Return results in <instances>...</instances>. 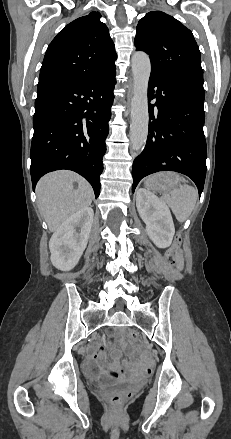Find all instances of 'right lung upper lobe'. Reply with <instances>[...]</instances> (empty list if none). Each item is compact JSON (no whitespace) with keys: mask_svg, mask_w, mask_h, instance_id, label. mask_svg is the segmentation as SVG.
I'll return each instance as SVG.
<instances>
[{"mask_svg":"<svg viewBox=\"0 0 231 439\" xmlns=\"http://www.w3.org/2000/svg\"><path fill=\"white\" fill-rule=\"evenodd\" d=\"M98 12L64 27L49 44L37 92L84 83L115 66V46Z\"/></svg>","mask_w":231,"mask_h":439,"instance_id":"obj_1","label":"right lung upper lobe"}]
</instances>
